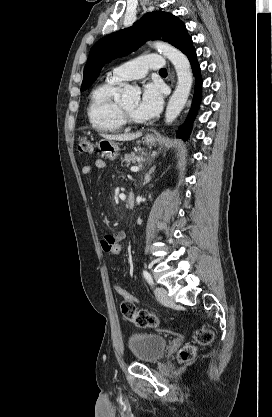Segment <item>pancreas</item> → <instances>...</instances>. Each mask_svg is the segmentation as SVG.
<instances>
[{"label": "pancreas", "instance_id": "cf45deb5", "mask_svg": "<svg viewBox=\"0 0 272 417\" xmlns=\"http://www.w3.org/2000/svg\"><path fill=\"white\" fill-rule=\"evenodd\" d=\"M143 161V158L140 156L135 155V153L126 154L124 158L122 159V162L125 163L127 166L130 165V163H141Z\"/></svg>", "mask_w": 272, "mask_h": 417}]
</instances>
